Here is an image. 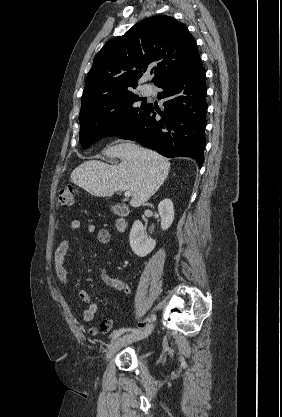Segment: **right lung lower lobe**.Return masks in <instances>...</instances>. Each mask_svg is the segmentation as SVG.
<instances>
[{
  "label": "right lung lower lobe",
  "mask_w": 282,
  "mask_h": 417,
  "mask_svg": "<svg viewBox=\"0 0 282 417\" xmlns=\"http://www.w3.org/2000/svg\"><path fill=\"white\" fill-rule=\"evenodd\" d=\"M157 86L164 90L158 93V98L166 99L163 103L166 117L156 119L159 110L149 103L129 129L115 136L137 141L165 157H191L201 168L207 111L201 59L176 71Z\"/></svg>",
  "instance_id": "obj_1"
}]
</instances>
